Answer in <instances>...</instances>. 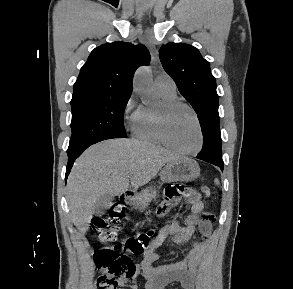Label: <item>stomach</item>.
<instances>
[{
  "mask_svg": "<svg viewBox=\"0 0 293 289\" xmlns=\"http://www.w3.org/2000/svg\"><path fill=\"white\" fill-rule=\"evenodd\" d=\"M199 176L200 167L198 163L185 157L168 162L160 172V178L164 182H191ZM133 204L138 206L135 199H133Z\"/></svg>",
  "mask_w": 293,
  "mask_h": 289,
  "instance_id": "stomach-1",
  "label": "stomach"
}]
</instances>
